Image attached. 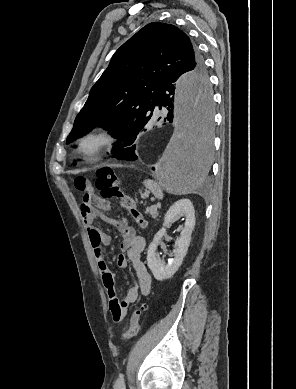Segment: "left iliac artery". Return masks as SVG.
Masks as SVG:
<instances>
[{
    "mask_svg": "<svg viewBox=\"0 0 296 389\" xmlns=\"http://www.w3.org/2000/svg\"><path fill=\"white\" fill-rule=\"evenodd\" d=\"M115 389H125V379L123 374L119 375L115 384Z\"/></svg>",
    "mask_w": 296,
    "mask_h": 389,
    "instance_id": "left-iliac-artery-1",
    "label": "left iliac artery"
}]
</instances>
